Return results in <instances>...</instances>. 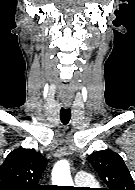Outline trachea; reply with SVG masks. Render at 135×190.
Masks as SVG:
<instances>
[{
    "label": "trachea",
    "instance_id": "1",
    "mask_svg": "<svg viewBox=\"0 0 135 190\" xmlns=\"http://www.w3.org/2000/svg\"><path fill=\"white\" fill-rule=\"evenodd\" d=\"M70 118H71V110L70 108H61L60 110V119H61V122L66 125L69 123L70 121Z\"/></svg>",
    "mask_w": 135,
    "mask_h": 190
}]
</instances>
